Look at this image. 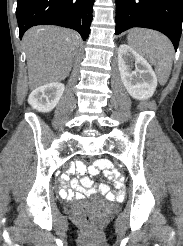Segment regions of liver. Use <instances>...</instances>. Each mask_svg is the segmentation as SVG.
<instances>
[{"instance_id": "obj_1", "label": "liver", "mask_w": 183, "mask_h": 246, "mask_svg": "<svg viewBox=\"0 0 183 246\" xmlns=\"http://www.w3.org/2000/svg\"><path fill=\"white\" fill-rule=\"evenodd\" d=\"M30 89L64 80L70 73L78 51L80 36L76 31L38 26L24 37Z\"/></svg>"}]
</instances>
